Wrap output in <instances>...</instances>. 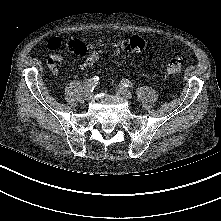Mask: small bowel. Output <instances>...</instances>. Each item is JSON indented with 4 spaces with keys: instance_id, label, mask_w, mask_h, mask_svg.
<instances>
[{
    "instance_id": "1",
    "label": "small bowel",
    "mask_w": 221,
    "mask_h": 221,
    "mask_svg": "<svg viewBox=\"0 0 221 221\" xmlns=\"http://www.w3.org/2000/svg\"><path fill=\"white\" fill-rule=\"evenodd\" d=\"M47 45L48 48L54 52L50 55L47 65L55 74L58 73L59 67L65 61V57L62 54L63 52L69 50L76 55L82 56L84 51L88 50V47L78 40H70L63 44L57 38H51L49 39Z\"/></svg>"
}]
</instances>
